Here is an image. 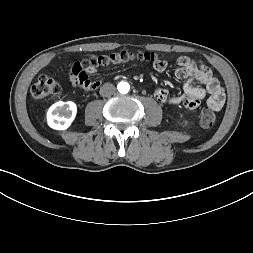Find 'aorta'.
<instances>
[{"label":"aorta","mask_w":253,"mask_h":253,"mask_svg":"<svg viewBox=\"0 0 253 253\" xmlns=\"http://www.w3.org/2000/svg\"><path fill=\"white\" fill-rule=\"evenodd\" d=\"M117 89L121 94H127L130 90V85L128 82H120L117 85Z\"/></svg>","instance_id":"762f6f07"}]
</instances>
